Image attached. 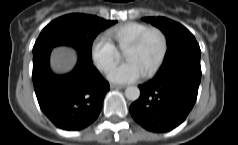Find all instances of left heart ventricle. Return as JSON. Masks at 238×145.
I'll use <instances>...</instances> for the list:
<instances>
[{
    "label": "left heart ventricle",
    "instance_id": "left-heart-ventricle-1",
    "mask_svg": "<svg viewBox=\"0 0 238 145\" xmlns=\"http://www.w3.org/2000/svg\"><path fill=\"white\" fill-rule=\"evenodd\" d=\"M161 51V39L156 34H150L144 43L137 49L124 51V58L137 64L143 73L147 72L157 60Z\"/></svg>",
    "mask_w": 238,
    "mask_h": 145
}]
</instances>
